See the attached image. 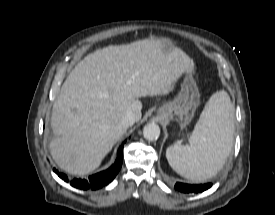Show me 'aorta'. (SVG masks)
I'll return each mask as SVG.
<instances>
[{"label": "aorta", "instance_id": "762f6f07", "mask_svg": "<svg viewBox=\"0 0 275 215\" xmlns=\"http://www.w3.org/2000/svg\"><path fill=\"white\" fill-rule=\"evenodd\" d=\"M143 136L148 141L156 140L160 136V128L156 123H148L143 128Z\"/></svg>", "mask_w": 275, "mask_h": 215}]
</instances>
